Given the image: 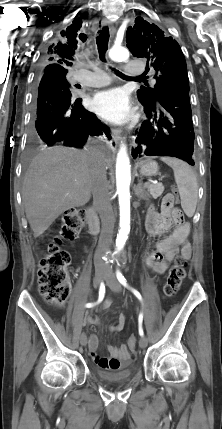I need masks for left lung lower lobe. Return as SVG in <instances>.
<instances>
[{
    "label": "left lung lower lobe",
    "instance_id": "obj_1",
    "mask_svg": "<svg viewBox=\"0 0 222 429\" xmlns=\"http://www.w3.org/2000/svg\"><path fill=\"white\" fill-rule=\"evenodd\" d=\"M140 101L147 119L136 132L138 146L132 150L133 157L171 156L194 165L195 135L189 91L168 85L162 89L156 102Z\"/></svg>",
    "mask_w": 222,
    "mask_h": 429
}]
</instances>
